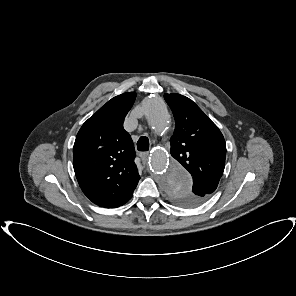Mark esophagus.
Segmentation results:
<instances>
[{
	"label": "esophagus",
	"mask_w": 296,
	"mask_h": 296,
	"mask_svg": "<svg viewBox=\"0 0 296 296\" xmlns=\"http://www.w3.org/2000/svg\"><path fill=\"white\" fill-rule=\"evenodd\" d=\"M139 156L141 157V160L143 163H146L147 162V159H148V156H149V153L148 152H141L139 154Z\"/></svg>",
	"instance_id": "obj_1"
}]
</instances>
